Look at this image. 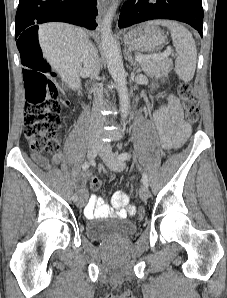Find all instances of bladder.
I'll use <instances>...</instances> for the list:
<instances>
[{"mask_svg":"<svg viewBox=\"0 0 227 298\" xmlns=\"http://www.w3.org/2000/svg\"><path fill=\"white\" fill-rule=\"evenodd\" d=\"M136 230L137 226L133 221L103 218L87 222L85 235L94 241L116 240L132 236Z\"/></svg>","mask_w":227,"mask_h":298,"instance_id":"obj_1","label":"bladder"}]
</instances>
